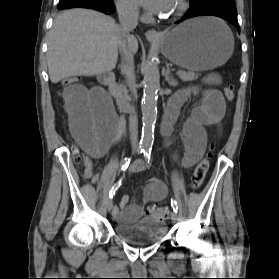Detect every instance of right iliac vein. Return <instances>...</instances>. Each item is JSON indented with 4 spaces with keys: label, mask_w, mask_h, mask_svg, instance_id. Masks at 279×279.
Wrapping results in <instances>:
<instances>
[{
    "label": "right iliac vein",
    "mask_w": 279,
    "mask_h": 279,
    "mask_svg": "<svg viewBox=\"0 0 279 279\" xmlns=\"http://www.w3.org/2000/svg\"><path fill=\"white\" fill-rule=\"evenodd\" d=\"M106 208H107L108 212H110L112 210V208H113V201H112V199H109L107 201Z\"/></svg>",
    "instance_id": "63e3f726"
}]
</instances>
